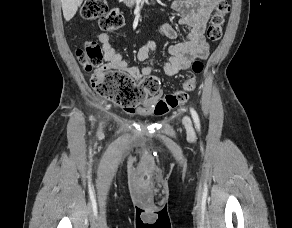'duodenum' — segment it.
Listing matches in <instances>:
<instances>
[{"mask_svg": "<svg viewBox=\"0 0 292 228\" xmlns=\"http://www.w3.org/2000/svg\"><path fill=\"white\" fill-rule=\"evenodd\" d=\"M125 1H133V0H125Z\"/></svg>", "mask_w": 292, "mask_h": 228, "instance_id": "obj_1", "label": "duodenum"}]
</instances>
